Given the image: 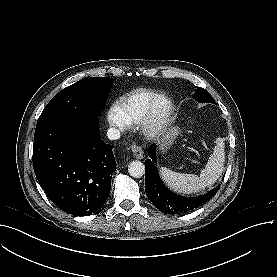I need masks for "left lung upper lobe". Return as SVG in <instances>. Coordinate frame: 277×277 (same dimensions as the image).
<instances>
[{"label": "left lung upper lobe", "mask_w": 277, "mask_h": 277, "mask_svg": "<svg viewBox=\"0 0 277 277\" xmlns=\"http://www.w3.org/2000/svg\"><path fill=\"white\" fill-rule=\"evenodd\" d=\"M193 97L199 101L200 103H213V104H216L215 100L213 99V97L210 95V93L201 88V87H198L196 89V93L193 94Z\"/></svg>", "instance_id": "1"}]
</instances>
